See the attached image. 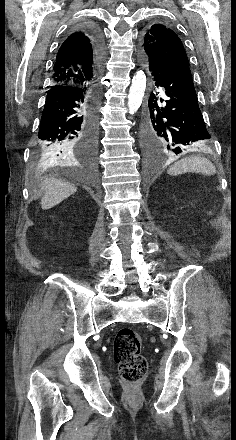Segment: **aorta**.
<instances>
[{
  "mask_svg": "<svg viewBox=\"0 0 236 440\" xmlns=\"http://www.w3.org/2000/svg\"><path fill=\"white\" fill-rule=\"evenodd\" d=\"M146 81V75L142 70L137 71L132 78L127 102L130 114H134L142 104Z\"/></svg>",
  "mask_w": 236,
  "mask_h": 440,
  "instance_id": "762f6f07",
  "label": "aorta"
}]
</instances>
